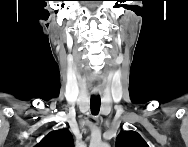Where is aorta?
<instances>
[{"instance_id":"obj_1","label":"aorta","mask_w":188,"mask_h":147,"mask_svg":"<svg viewBox=\"0 0 188 147\" xmlns=\"http://www.w3.org/2000/svg\"><path fill=\"white\" fill-rule=\"evenodd\" d=\"M101 146H102V147H106V146H108V144L102 143Z\"/></svg>"}]
</instances>
